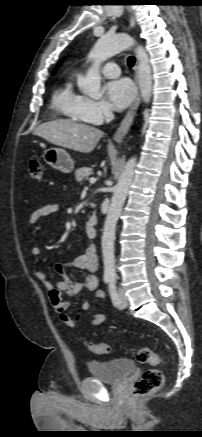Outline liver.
Returning a JSON list of instances; mask_svg holds the SVG:
<instances>
[{
  "instance_id": "1",
  "label": "liver",
  "mask_w": 202,
  "mask_h": 437,
  "mask_svg": "<svg viewBox=\"0 0 202 437\" xmlns=\"http://www.w3.org/2000/svg\"><path fill=\"white\" fill-rule=\"evenodd\" d=\"M34 135L48 142L81 153L91 152L104 133L92 126L71 120H54L40 124Z\"/></svg>"
}]
</instances>
